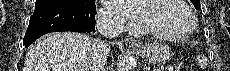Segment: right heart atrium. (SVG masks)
<instances>
[{
	"mask_svg": "<svg viewBox=\"0 0 230 71\" xmlns=\"http://www.w3.org/2000/svg\"><path fill=\"white\" fill-rule=\"evenodd\" d=\"M101 20L108 26L114 27L116 29H121L125 21L123 17L116 11L110 9H102L99 12Z\"/></svg>",
	"mask_w": 230,
	"mask_h": 71,
	"instance_id": "right-heart-atrium-1",
	"label": "right heart atrium"
}]
</instances>
